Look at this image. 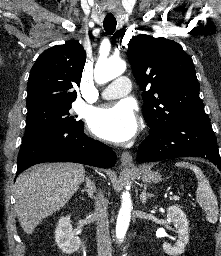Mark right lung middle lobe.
I'll use <instances>...</instances> for the list:
<instances>
[{
	"instance_id": "dd1d6c3e",
	"label": "right lung middle lobe",
	"mask_w": 221,
	"mask_h": 256,
	"mask_svg": "<svg viewBox=\"0 0 221 256\" xmlns=\"http://www.w3.org/2000/svg\"><path fill=\"white\" fill-rule=\"evenodd\" d=\"M71 105H41L28 110L26 130L22 142L55 128L82 126L83 122L77 116L69 113Z\"/></svg>"
}]
</instances>
